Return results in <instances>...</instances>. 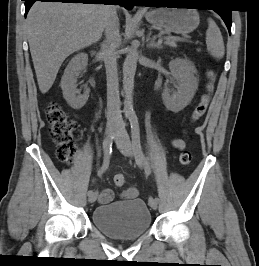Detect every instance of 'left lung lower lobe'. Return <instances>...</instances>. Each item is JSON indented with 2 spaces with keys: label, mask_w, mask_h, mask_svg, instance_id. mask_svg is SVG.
<instances>
[{
  "label": "left lung lower lobe",
  "mask_w": 259,
  "mask_h": 266,
  "mask_svg": "<svg viewBox=\"0 0 259 266\" xmlns=\"http://www.w3.org/2000/svg\"><path fill=\"white\" fill-rule=\"evenodd\" d=\"M192 0H145L144 6L151 5L152 7H159V5L173 6L175 4H191ZM214 4V3H213ZM148 7V6H147ZM225 22L229 34H231V11L229 9H214Z\"/></svg>",
  "instance_id": "1"
}]
</instances>
